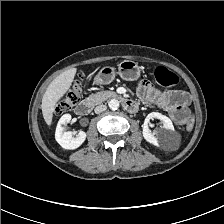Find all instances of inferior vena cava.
I'll use <instances>...</instances> for the list:
<instances>
[{"label":"inferior vena cava","mask_w":224,"mask_h":224,"mask_svg":"<svg viewBox=\"0 0 224 224\" xmlns=\"http://www.w3.org/2000/svg\"><path fill=\"white\" fill-rule=\"evenodd\" d=\"M107 109L106 105H98L95 107L94 111L96 114H100L101 112H104Z\"/></svg>","instance_id":"inferior-vena-cava-1"}]
</instances>
